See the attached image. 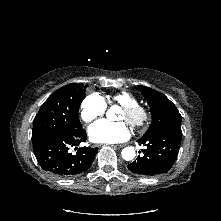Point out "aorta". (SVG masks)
Segmentation results:
<instances>
[{"instance_id": "1", "label": "aorta", "mask_w": 221, "mask_h": 221, "mask_svg": "<svg viewBox=\"0 0 221 221\" xmlns=\"http://www.w3.org/2000/svg\"><path fill=\"white\" fill-rule=\"evenodd\" d=\"M121 155L124 160L130 161L135 157V149L133 147H125Z\"/></svg>"}]
</instances>
